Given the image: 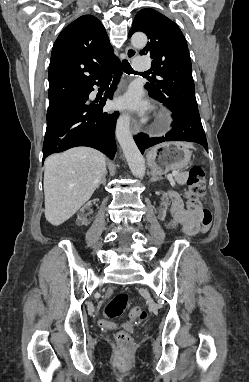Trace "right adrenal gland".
<instances>
[{
	"mask_svg": "<svg viewBox=\"0 0 249 382\" xmlns=\"http://www.w3.org/2000/svg\"><path fill=\"white\" fill-rule=\"evenodd\" d=\"M106 175H107V171L105 172V174L103 175V177L101 178V180L99 181L98 185H97V188H99V186L103 183L105 184L106 183Z\"/></svg>",
	"mask_w": 249,
	"mask_h": 382,
	"instance_id": "1",
	"label": "right adrenal gland"
}]
</instances>
